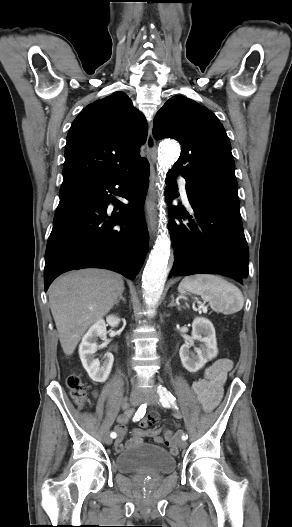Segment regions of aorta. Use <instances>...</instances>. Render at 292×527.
Listing matches in <instances>:
<instances>
[{"mask_svg":"<svg viewBox=\"0 0 292 527\" xmlns=\"http://www.w3.org/2000/svg\"><path fill=\"white\" fill-rule=\"evenodd\" d=\"M158 155L159 163L165 171L178 159L180 147L174 141H166L160 146ZM160 204L161 206L164 204L163 199ZM160 231L161 235L151 250L142 275L143 297L149 307H154L160 299L170 256L169 238L165 231Z\"/></svg>","mask_w":292,"mask_h":527,"instance_id":"obj_1","label":"aorta"}]
</instances>
